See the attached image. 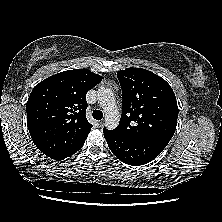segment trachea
Instances as JSON below:
<instances>
[{
    "instance_id": "obj_1",
    "label": "trachea",
    "mask_w": 222,
    "mask_h": 222,
    "mask_svg": "<svg viewBox=\"0 0 222 222\" xmlns=\"http://www.w3.org/2000/svg\"><path fill=\"white\" fill-rule=\"evenodd\" d=\"M93 118L96 120H101L103 118V113L100 110L93 111Z\"/></svg>"
}]
</instances>
